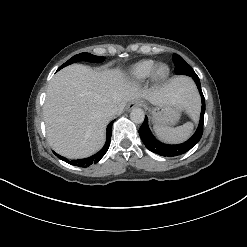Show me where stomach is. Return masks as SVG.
I'll return each mask as SVG.
<instances>
[{
  "mask_svg": "<svg viewBox=\"0 0 247 247\" xmlns=\"http://www.w3.org/2000/svg\"><path fill=\"white\" fill-rule=\"evenodd\" d=\"M183 110L184 107L180 103H167L149 107V111L152 114V122L154 125L159 126L176 124Z\"/></svg>",
  "mask_w": 247,
  "mask_h": 247,
  "instance_id": "1",
  "label": "stomach"
}]
</instances>
